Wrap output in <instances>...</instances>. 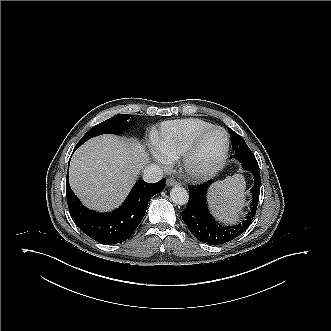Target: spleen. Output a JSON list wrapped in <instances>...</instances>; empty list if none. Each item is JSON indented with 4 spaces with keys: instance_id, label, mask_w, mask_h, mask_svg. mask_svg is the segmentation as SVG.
<instances>
[{
    "instance_id": "spleen-1",
    "label": "spleen",
    "mask_w": 331,
    "mask_h": 331,
    "mask_svg": "<svg viewBox=\"0 0 331 331\" xmlns=\"http://www.w3.org/2000/svg\"><path fill=\"white\" fill-rule=\"evenodd\" d=\"M246 183L240 174L215 182L209 190L208 201L212 212L222 221L233 223L245 206Z\"/></svg>"
}]
</instances>
